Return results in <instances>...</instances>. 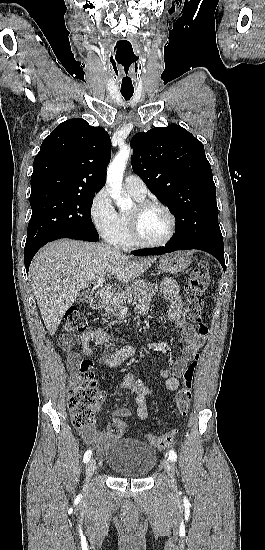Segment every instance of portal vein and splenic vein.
I'll return each mask as SVG.
<instances>
[{
  "instance_id": "portal-vein-and-splenic-vein-1",
  "label": "portal vein and splenic vein",
  "mask_w": 265,
  "mask_h": 550,
  "mask_svg": "<svg viewBox=\"0 0 265 550\" xmlns=\"http://www.w3.org/2000/svg\"><path fill=\"white\" fill-rule=\"evenodd\" d=\"M105 281V278L104 277H101L97 280V284H102L103 282Z\"/></svg>"
}]
</instances>
